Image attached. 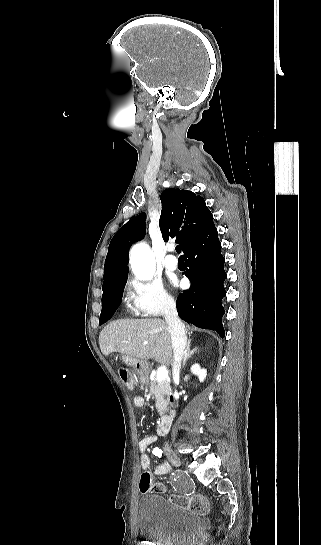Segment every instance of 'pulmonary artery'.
<instances>
[{
	"mask_svg": "<svg viewBox=\"0 0 321 545\" xmlns=\"http://www.w3.org/2000/svg\"><path fill=\"white\" fill-rule=\"evenodd\" d=\"M163 266L167 270L174 271L178 267V262L177 260L167 259L163 262Z\"/></svg>",
	"mask_w": 321,
	"mask_h": 545,
	"instance_id": "e3ab8cb5",
	"label": "pulmonary artery"
}]
</instances>
